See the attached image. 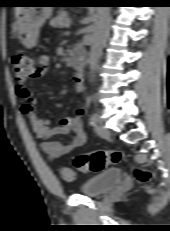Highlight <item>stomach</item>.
Here are the masks:
<instances>
[{"mask_svg":"<svg viewBox=\"0 0 170 231\" xmlns=\"http://www.w3.org/2000/svg\"><path fill=\"white\" fill-rule=\"evenodd\" d=\"M33 3H45L44 1H32ZM52 7H25L18 15L14 33L20 42L27 48L36 45L40 28L50 18Z\"/></svg>","mask_w":170,"mask_h":231,"instance_id":"obj_1","label":"stomach"}]
</instances>
